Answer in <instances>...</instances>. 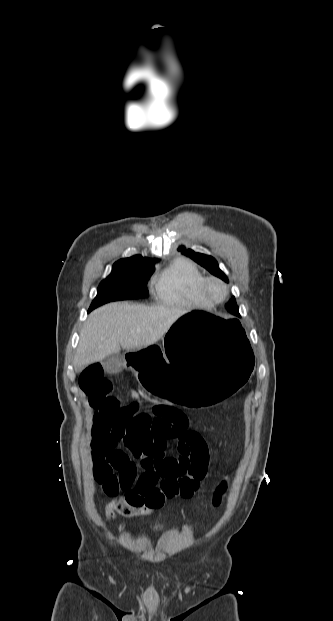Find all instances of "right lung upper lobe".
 <instances>
[{"mask_svg":"<svg viewBox=\"0 0 333 621\" xmlns=\"http://www.w3.org/2000/svg\"><path fill=\"white\" fill-rule=\"evenodd\" d=\"M158 261V259L154 258V259H150V258H144L141 255H134L130 258H124V259H120L119 261H117L116 263L118 264H137V265H142V266H149V267H153L154 264Z\"/></svg>","mask_w":333,"mask_h":621,"instance_id":"right-lung-upper-lobe-1","label":"right lung upper lobe"}]
</instances>
